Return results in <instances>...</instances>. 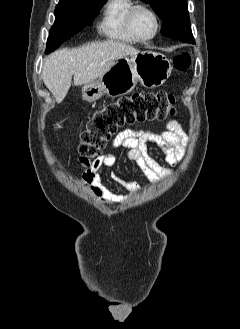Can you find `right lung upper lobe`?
<instances>
[{
    "label": "right lung upper lobe",
    "instance_id": "cb5924a9",
    "mask_svg": "<svg viewBox=\"0 0 240 329\" xmlns=\"http://www.w3.org/2000/svg\"><path fill=\"white\" fill-rule=\"evenodd\" d=\"M73 1H86V0H59V3H67V2H73Z\"/></svg>",
    "mask_w": 240,
    "mask_h": 329
}]
</instances>
